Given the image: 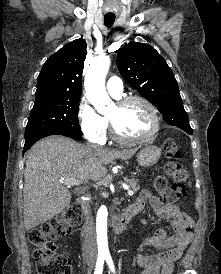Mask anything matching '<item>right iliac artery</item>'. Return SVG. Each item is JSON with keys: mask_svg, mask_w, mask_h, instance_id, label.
<instances>
[{"mask_svg": "<svg viewBox=\"0 0 221 274\" xmlns=\"http://www.w3.org/2000/svg\"><path fill=\"white\" fill-rule=\"evenodd\" d=\"M104 260H105L104 256H98L94 274H102L103 266H104Z\"/></svg>", "mask_w": 221, "mask_h": 274, "instance_id": "1", "label": "right iliac artery"}]
</instances>
